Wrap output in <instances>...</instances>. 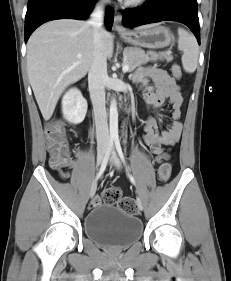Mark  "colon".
I'll use <instances>...</instances> for the list:
<instances>
[{
	"mask_svg": "<svg viewBox=\"0 0 231 281\" xmlns=\"http://www.w3.org/2000/svg\"><path fill=\"white\" fill-rule=\"evenodd\" d=\"M172 75L176 79L182 76L179 65L172 66ZM47 147L50 153V165L55 169H64L70 163V153L68 141L66 138L65 128L61 121H54L47 125L46 130ZM171 176V166L168 163L160 165L158 168V178L161 182H167ZM104 202L106 204H117L118 207L128 213L136 214L137 206L135 201L129 197H121V191L116 187L107 188L102 195V198L96 197L92 201V206H97Z\"/></svg>",
	"mask_w": 231,
	"mask_h": 281,
	"instance_id": "5ec220e1",
	"label": "colon"
}]
</instances>
